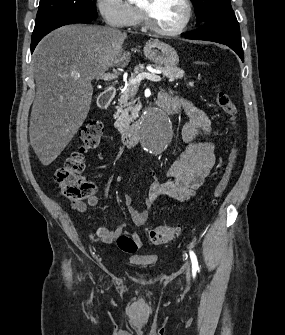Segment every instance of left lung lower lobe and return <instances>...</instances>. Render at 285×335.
<instances>
[{
  "instance_id": "left-lung-lower-lobe-1",
  "label": "left lung lower lobe",
  "mask_w": 285,
  "mask_h": 335,
  "mask_svg": "<svg viewBox=\"0 0 285 335\" xmlns=\"http://www.w3.org/2000/svg\"><path fill=\"white\" fill-rule=\"evenodd\" d=\"M187 39L205 40L225 44L244 61L239 23L233 16H215L202 23Z\"/></svg>"
}]
</instances>
